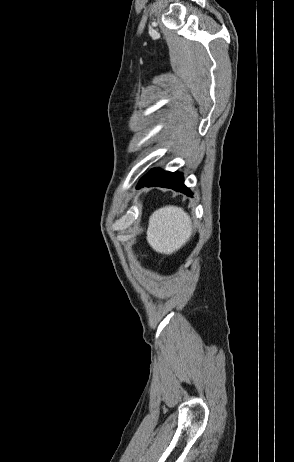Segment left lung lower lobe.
<instances>
[{
  "mask_svg": "<svg viewBox=\"0 0 294 462\" xmlns=\"http://www.w3.org/2000/svg\"><path fill=\"white\" fill-rule=\"evenodd\" d=\"M166 187L188 196H192L191 191L184 185L183 176L180 173H171L152 169L138 183L137 189L144 187Z\"/></svg>",
  "mask_w": 294,
  "mask_h": 462,
  "instance_id": "0a47b994",
  "label": "left lung lower lobe"
}]
</instances>
